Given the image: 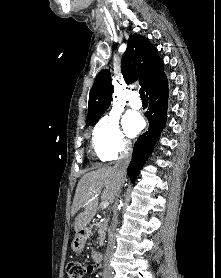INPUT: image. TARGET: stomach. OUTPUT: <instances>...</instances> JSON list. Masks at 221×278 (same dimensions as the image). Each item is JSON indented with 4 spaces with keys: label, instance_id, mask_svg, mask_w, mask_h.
Listing matches in <instances>:
<instances>
[{
    "label": "stomach",
    "instance_id": "obj_1",
    "mask_svg": "<svg viewBox=\"0 0 221 278\" xmlns=\"http://www.w3.org/2000/svg\"><path fill=\"white\" fill-rule=\"evenodd\" d=\"M86 237L81 233H77L71 243L72 250L76 253H81L84 249Z\"/></svg>",
    "mask_w": 221,
    "mask_h": 278
}]
</instances>
